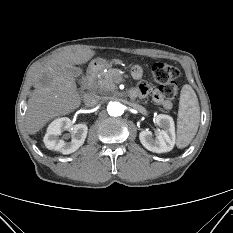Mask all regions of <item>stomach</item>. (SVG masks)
<instances>
[{"label": "stomach", "instance_id": "obj_1", "mask_svg": "<svg viewBox=\"0 0 233 233\" xmlns=\"http://www.w3.org/2000/svg\"><path fill=\"white\" fill-rule=\"evenodd\" d=\"M106 64L107 62L104 59L96 58L90 62L89 67L90 69H102L103 67L106 66Z\"/></svg>", "mask_w": 233, "mask_h": 233}]
</instances>
